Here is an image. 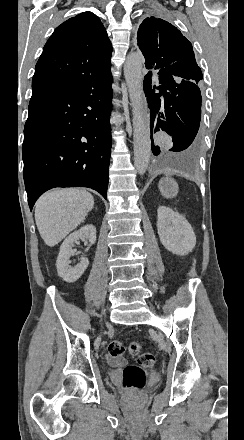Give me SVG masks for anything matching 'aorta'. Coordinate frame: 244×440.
Listing matches in <instances>:
<instances>
[{
  "label": "aorta",
  "instance_id": "aorta-1",
  "mask_svg": "<svg viewBox=\"0 0 244 440\" xmlns=\"http://www.w3.org/2000/svg\"><path fill=\"white\" fill-rule=\"evenodd\" d=\"M143 61L144 58L140 52H131L124 64V76L133 112L134 166L140 175L146 172L151 155L150 135L142 105Z\"/></svg>",
  "mask_w": 244,
  "mask_h": 440
}]
</instances>
